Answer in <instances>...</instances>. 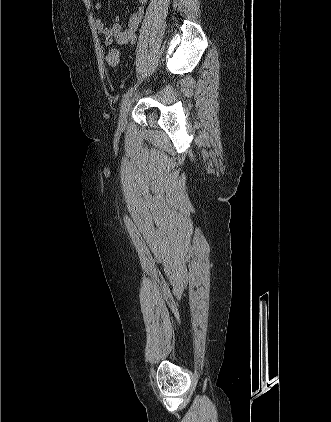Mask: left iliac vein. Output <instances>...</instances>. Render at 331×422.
<instances>
[{"label": "left iliac vein", "mask_w": 331, "mask_h": 422, "mask_svg": "<svg viewBox=\"0 0 331 422\" xmlns=\"http://www.w3.org/2000/svg\"><path fill=\"white\" fill-rule=\"evenodd\" d=\"M134 98L131 95L124 103L120 112L119 121H118V128L120 131H124L127 125V116L129 109L131 107V104L133 102Z\"/></svg>", "instance_id": "4c4485c4"}]
</instances>
